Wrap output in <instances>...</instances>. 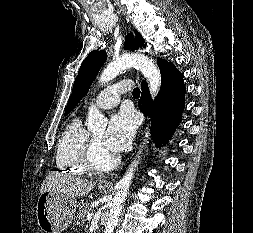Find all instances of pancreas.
Listing matches in <instances>:
<instances>
[{
    "label": "pancreas",
    "mask_w": 253,
    "mask_h": 233,
    "mask_svg": "<svg viewBox=\"0 0 253 233\" xmlns=\"http://www.w3.org/2000/svg\"><path fill=\"white\" fill-rule=\"evenodd\" d=\"M91 212V208L89 204H81L79 206V211L77 213V215L75 216L76 218V222L81 221L82 223H84L86 221V216L87 214H89Z\"/></svg>",
    "instance_id": "cf45deb5"
}]
</instances>
